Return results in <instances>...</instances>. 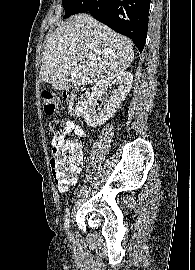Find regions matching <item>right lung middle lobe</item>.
I'll use <instances>...</instances> for the list:
<instances>
[{"label": "right lung middle lobe", "instance_id": "dd1d6c3e", "mask_svg": "<svg viewBox=\"0 0 195 270\" xmlns=\"http://www.w3.org/2000/svg\"><path fill=\"white\" fill-rule=\"evenodd\" d=\"M82 0H62V4L65 10L63 18H68L71 15L78 13L79 4Z\"/></svg>", "mask_w": 195, "mask_h": 270}]
</instances>
